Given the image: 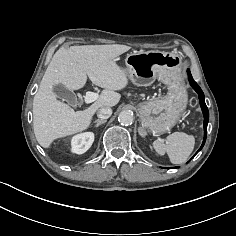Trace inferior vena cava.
I'll return each instance as SVG.
<instances>
[{
	"mask_svg": "<svg viewBox=\"0 0 236 236\" xmlns=\"http://www.w3.org/2000/svg\"><path fill=\"white\" fill-rule=\"evenodd\" d=\"M111 115H112V109L107 106L101 107L97 111V116L101 119H108Z\"/></svg>",
	"mask_w": 236,
	"mask_h": 236,
	"instance_id": "inferior-vena-cava-1",
	"label": "inferior vena cava"
}]
</instances>
